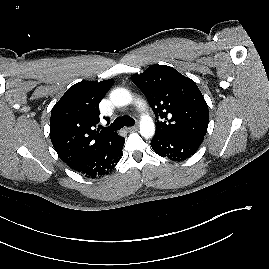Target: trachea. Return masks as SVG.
<instances>
[{
    "label": "trachea",
    "instance_id": "trachea-1",
    "mask_svg": "<svg viewBox=\"0 0 269 269\" xmlns=\"http://www.w3.org/2000/svg\"><path fill=\"white\" fill-rule=\"evenodd\" d=\"M135 124V120L129 116H122L115 119V121L107 128L109 131H116L121 129L124 126H133Z\"/></svg>",
    "mask_w": 269,
    "mask_h": 269
}]
</instances>
